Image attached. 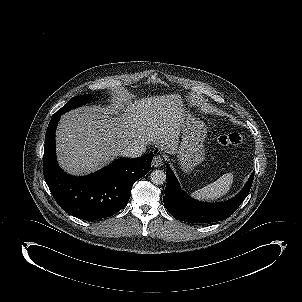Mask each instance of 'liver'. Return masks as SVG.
Instances as JSON below:
<instances>
[{
	"mask_svg": "<svg viewBox=\"0 0 302 302\" xmlns=\"http://www.w3.org/2000/svg\"><path fill=\"white\" fill-rule=\"evenodd\" d=\"M183 114L179 95L76 108L63 114L58 124L57 159L68 173L84 175L110 163L126 147L156 144L176 154Z\"/></svg>",
	"mask_w": 302,
	"mask_h": 302,
	"instance_id": "obj_1",
	"label": "liver"
}]
</instances>
